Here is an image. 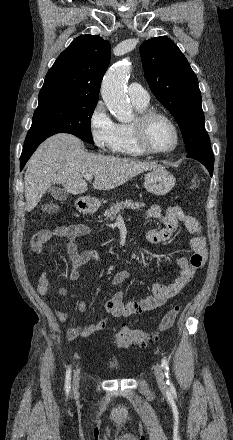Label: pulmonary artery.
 <instances>
[{
    "instance_id": "obj_1",
    "label": "pulmonary artery",
    "mask_w": 233,
    "mask_h": 440,
    "mask_svg": "<svg viewBox=\"0 0 233 440\" xmlns=\"http://www.w3.org/2000/svg\"><path fill=\"white\" fill-rule=\"evenodd\" d=\"M128 94L134 104L143 106L149 103L150 97L148 92L137 82H133L129 85Z\"/></svg>"
}]
</instances>
